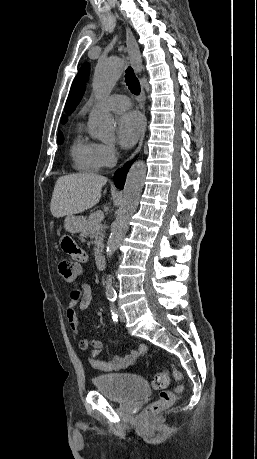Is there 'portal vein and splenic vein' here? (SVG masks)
I'll use <instances>...</instances> for the list:
<instances>
[{"instance_id": "obj_1", "label": "portal vein and splenic vein", "mask_w": 257, "mask_h": 459, "mask_svg": "<svg viewBox=\"0 0 257 459\" xmlns=\"http://www.w3.org/2000/svg\"><path fill=\"white\" fill-rule=\"evenodd\" d=\"M95 218L97 221H102L104 218V213L102 211L95 212Z\"/></svg>"}]
</instances>
